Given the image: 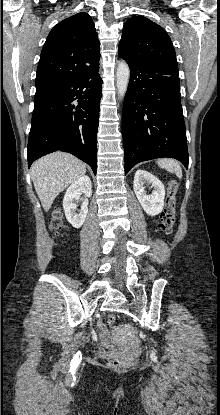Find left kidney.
Wrapping results in <instances>:
<instances>
[{"instance_id":"5707ae66","label":"left kidney","mask_w":220,"mask_h":415,"mask_svg":"<svg viewBox=\"0 0 220 415\" xmlns=\"http://www.w3.org/2000/svg\"><path fill=\"white\" fill-rule=\"evenodd\" d=\"M151 184L154 190L146 194L144 184ZM133 189L143 210L150 216L158 215L164 207L165 188L163 183L145 170H137L134 176Z\"/></svg>"}]
</instances>
